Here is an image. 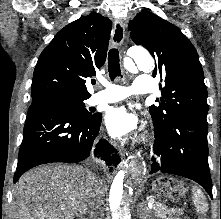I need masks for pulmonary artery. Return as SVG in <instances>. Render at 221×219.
I'll return each mask as SVG.
<instances>
[{"mask_svg":"<svg viewBox=\"0 0 221 219\" xmlns=\"http://www.w3.org/2000/svg\"><path fill=\"white\" fill-rule=\"evenodd\" d=\"M104 90L94 93L90 98L93 105L111 103L130 97L133 94H150L154 92V80L150 75L142 74L136 77L131 87H124L102 80Z\"/></svg>","mask_w":221,"mask_h":219,"instance_id":"pulmonary-artery-1","label":"pulmonary artery"}]
</instances>
